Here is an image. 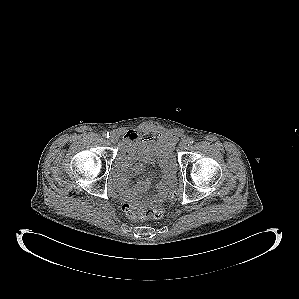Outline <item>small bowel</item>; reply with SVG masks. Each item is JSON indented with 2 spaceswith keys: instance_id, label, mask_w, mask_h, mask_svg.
<instances>
[{
  "instance_id": "obj_1",
  "label": "small bowel",
  "mask_w": 299,
  "mask_h": 299,
  "mask_svg": "<svg viewBox=\"0 0 299 299\" xmlns=\"http://www.w3.org/2000/svg\"><path fill=\"white\" fill-rule=\"evenodd\" d=\"M168 141H173V136H161ZM127 142H131L133 147L126 151L122 159V176L120 179V190L127 199H134L138 193L146 192L151 184L149 177L141 179L134 189L128 186L127 172L129 169L136 175L142 174L147 165L155 162V156L158 158V164L164 173L163 179L157 184L156 192L153 195L154 202H161L167 195L169 189L174 185L176 162L173 156H158L154 151V144L157 141L156 136L140 134L135 131H128L125 136Z\"/></svg>"
}]
</instances>
